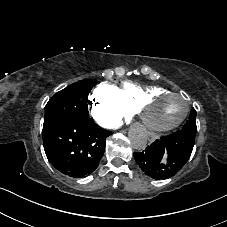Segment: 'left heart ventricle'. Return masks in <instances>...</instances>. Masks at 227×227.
Segmentation results:
<instances>
[{
    "label": "left heart ventricle",
    "instance_id": "left-heart-ventricle-1",
    "mask_svg": "<svg viewBox=\"0 0 227 227\" xmlns=\"http://www.w3.org/2000/svg\"><path fill=\"white\" fill-rule=\"evenodd\" d=\"M185 100L180 96H163L151 103L145 110L149 124L157 127L168 126L184 113Z\"/></svg>",
    "mask_w": 227,
    "mask_h": 227
}]
</instances>
